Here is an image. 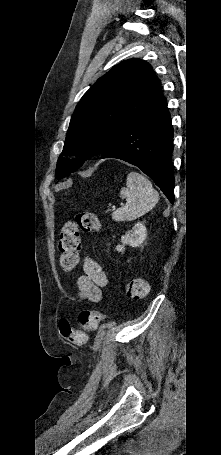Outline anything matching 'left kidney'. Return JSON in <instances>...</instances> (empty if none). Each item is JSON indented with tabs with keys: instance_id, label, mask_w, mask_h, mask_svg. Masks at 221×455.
Wrapping results in <instances>:
<instances>
[{
	"instance_id": "1",
	"label": "left kidney",
	"mask_w": 221,
	"mask_h": 455,
	"mask_svg": "<svg viewBox=\"0 0 221 455\" xmlns=\"http://www.w3.org/2000/svg\"><path fill=\"white\" fill-rule=\"evenodd\" d=\"M147 235L146 227L142 223H137L132 228V230L126 232L124 236L121 237L122 245H118L116 250L122 252L125 245L131 247H139L145 240Z\"/></svg>"
}]
</instances>
